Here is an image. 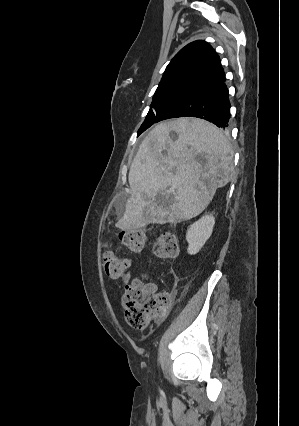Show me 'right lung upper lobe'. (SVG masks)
Instances as JSON below:
<instances>
[{"label":"right lung upper lobe","instance_id":"cb5924a9","mask_svg":"<svg viewBox=\"0 0 299 426\" xmlns=\"http://www.w3.org/2000/svg\"><path fill=\"white\" fill-rule=\"evenodd\" d=\"M224 76L220 58L205 41H194L182 48L168 64L159 85L200 86Z\"/></svg>","mask_w":299,"mask_h":426}]
</instances>
